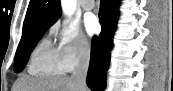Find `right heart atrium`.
I'll list each match as a JSON object with an SVG mask.
<instances>
[{"instance_id": "1", "label": "right heart atrium", "mask_w": 173, "mask_h": 91, "mask_svg": "<svg viewBox=\"0 0 173 91\" xmlns=\"http://www.w3.org/2000/svg\"><path fill=\"white\" fill-rule=\"evenodd\" d=\"M51 34L55 37L56 50L65 71H73L88 59L91 51L90 40L75 25L67 21L55 24Z\"/></svg>"}]
</instances>
